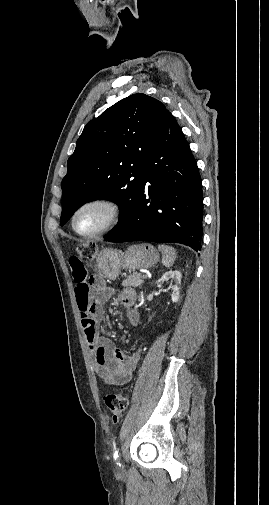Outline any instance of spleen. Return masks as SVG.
Returning <instances> with one entry per match:
<instances>
[{
  "mask_svg": "<svg viewBox=\"0 0 269 505\" xmlns=\"http://www.w3.org/2000/svg\"><path fill=\"white\" fill-rule=\"evenodd\" d=\"M158 249L162 254V263L165 267L169 268L173 265L177 252L172 246L159 244Z\"/></svg>",
  "mask_w": 269,
  "mask_h": 505,
  "instance_id": "1",
  "label": "spleen"
}]
</instances>
